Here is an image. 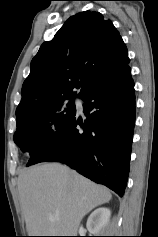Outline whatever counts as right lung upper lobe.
Returning a JSON list of instances; mask_svg holds the SVG:
<instances>
[{
  "label": "right lung upper lobe",
  "instance_id": "cb5924a9",
  "mask_svg": "<svg viewBox=\"0 0 158 237\" xmlns=\"http://www.w3.org/2000/svg\"><path fill=\"white\" fill-rule=\"evenodd\" d=\"M127 48L110 20L99 12L70 17L31 61L16 117L38 111L57 99L82 97L129 63Z\"/></svg>",
  "mask_w": 158,
  "mask_h": 237
}]
</instances>
